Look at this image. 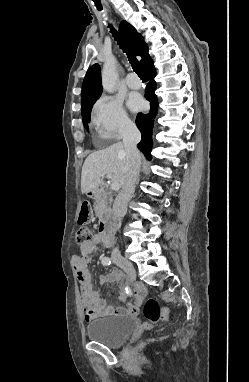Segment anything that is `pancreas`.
<instances>
[{"mask_svg":"<svg viewBox=\"0 0 249 382\" xmlns=\"http://www.w3.org/2000/svg\"><path fill=\"white\" fill-rule=\"evenodd\" d=\"M107 193L105 191H101L100 194L96 197L94 203V211L96 216L102 218L104 214L107 213Z\"/></svg>","mask_w":249,"mask_h":382,"instance_id":"pancreas-1","label":"pancreas"}]
</instances>
